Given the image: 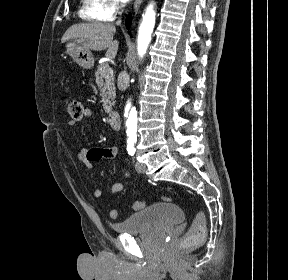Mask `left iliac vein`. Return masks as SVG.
<instances>
[{"label":"left iliac vein","mask_w":288,"mask_h":280,"mask_svg":"<svg viewBox=\"0 0 288 280\" xmlns=\"http://www.w3.org/2000/svg\"><path fill=\"white\" fill-rule=\"evenodd\" d=\"M137 167L140 168V167H141V164H140V163H137Z\"/></svg>","instance_id":"left-iliac-vein-1"}]
</instances>
